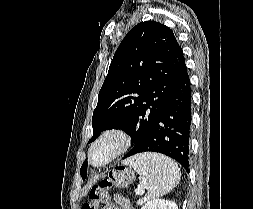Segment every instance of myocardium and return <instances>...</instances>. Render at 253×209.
Returning a JSON list of instances; mask_svg holds the SVG:
<instances>
[{"instance_id": "obj_1", "label": "myocardium", "mask_w": 253, "mask_h": 209, "mask_svg": "<svg viewBox=\"0 0 253 209\" xmlns=\"http://www.w3.org/2000/svg\"><path fill=\"white\" fill-rule=\"evenodd\" d=\"M109 138H114L117 141L115 150L101 163L95 164L92 160L95 148ZM131 144V138L127 130L122 127L114 126L104 129L92 142L88 150L89 164L95 168H100L108 165L116 158L125 153Z\"/></svg>"}]
</instances>
